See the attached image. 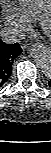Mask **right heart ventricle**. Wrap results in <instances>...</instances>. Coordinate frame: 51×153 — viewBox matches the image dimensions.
I'll use <instances>...</instances> for the list:
<instances>
[{
    "label": "right heart ventricle",
    "instance_id": "e07e8e85",
    "mask_svg": "<svg viewBox=\"0 0 51 153\" xmlns=\"http://www.w3.org/2000/svg\"><path fill=\"white\" fill-rule=\"evenodd\" d=\"M21 11L30 20L38 21L51 9V0H18Z\"/></svg>",
    "mask_w": 51,
    "mask_h": 153
}]
</instances>
